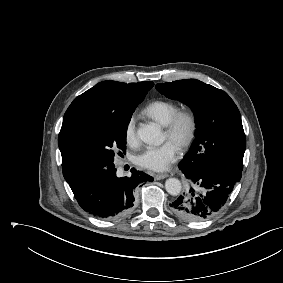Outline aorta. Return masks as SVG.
Listing matches in <instances>:
<instances>
[{
    "instance_id": "obj_1",
    "label": "aorta",
    "mask_w": 283,
    "mask_h": 283,
    "mask_svg": "<svg viewBox=\"0 0 283 283\" xmlns=\"http://www.w3.org/2000/svg\"><path fill=\"white\" fill-rule=\"evenodd\" d=\"M137 135L144 143L150 145H160L164 141L161 129L155 123L140 127L137 131ZM165 188L170 195L177 196L181 192L182 185L178 179L169 178L165 182Z\"/></svg>"
}]
</instances>
